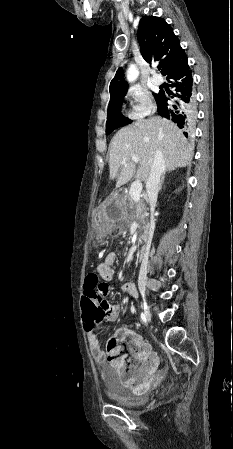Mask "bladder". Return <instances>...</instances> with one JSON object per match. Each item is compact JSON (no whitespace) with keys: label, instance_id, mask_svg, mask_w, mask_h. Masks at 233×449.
<instances>
[{"label":"bladder","instance_id":"31cf9c89","mask_svg":"<svg viewBox=\"0 0 233 449\" xmlns=\"http://www.w3.org/2000/svg\"><path fill=\"white\" fill-rule=\"evenodd\" d=\"M107 396L121 407H136L144 403V399L134 394L129 388L122 383L113 382L110 379L106 388Z\"/></svg>","mask_w":233,"mask_h":449}]
</instances>
